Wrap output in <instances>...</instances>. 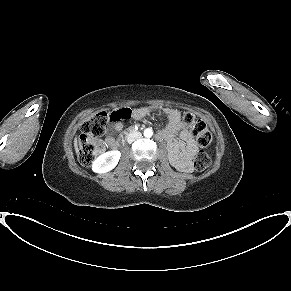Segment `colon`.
<instances>
[{
  "mask_svg": "<svg viewBox=\"0 0 291 291\" xmlns=\"http://www.w3.org/2000/svg\"><path fill=\"white\" fill-rule=\"evenodd\" d=\"M132 115L129 108H122L111 113L99 112L92 116L82 126V131L79 139V161L84 166H90L95 158L103 152L105 146L99 137L102 136L109 122L126 120ZM182 119L188 129L197 138V143L200 147L194 159V168L197 171H203L210 165V156L207 149L212 145V135L207 129L206 123L196 118L190 112H184Z\"/></svg>",
  "mask_w": 291,
  "mask_h": 291,
  "instance_id": "colon-1",
  "label": "colon"
}]
</instances>
